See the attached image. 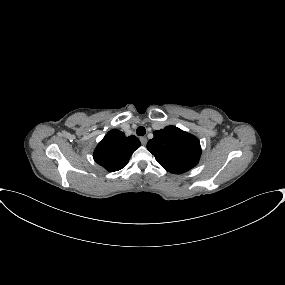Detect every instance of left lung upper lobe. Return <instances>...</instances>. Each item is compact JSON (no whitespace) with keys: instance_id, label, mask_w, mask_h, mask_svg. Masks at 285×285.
Segmentation results:
<instances>
[{"instance_id":"5c2ea615","label":"left lung upper lobe","mask_w":285,"mask_h":285,"mask_svg":"<svg viewBox=\"0 0 285 285\" xmlns=\"http://www.w3.org/2000/svg\"><path fill=\"white\" fill-rule=\"evenodd\" d=\"M153 134L147 149L167 171L182 174L197 165L201 147L195 136L175 126H167Z\"/></svg>"}]
</instances>
